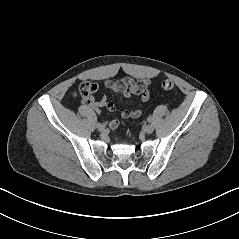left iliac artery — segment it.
Wrapping results in <instances>:
<instances>
[{
  "mask_svg": "<svg viewBox=\"0 0 239 239\" xmlns=\"http://www.w3.org/2000/svg\"><path fill=\"white\" fill-rule=\"evenodd\" d=\"M147 121H148V122H151V121H152V118H151V117H148V118H147Z\"/></svg>",
  "mask_w": 239,
  "mask_h": 239,
  "instance_id": "44dca946",
  "label": "left iliac artery"
}]
</instances>
